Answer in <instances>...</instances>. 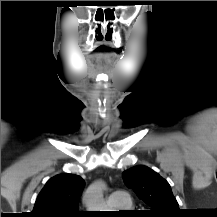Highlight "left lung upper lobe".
Wrapping results in <instances>:
<instances>
[{
    "label": "left lung upper lobe",
    "mask_w": 217,
    "mask_h": 217,
    "mask_svg": "<svg viewBox=\"0 0 217 217\" xmlns=\"http://www.w3.org/2000/svg\"><path fill=\"white\" fill-rule=\"evenodd\" d=\"M126 185L151 207V217H179L180 209L169 183L146 166L132 167L122 174Z\"/></svg>",
    "instance_id": "left-lung-upper-lobe-1"
}]
</instances>
